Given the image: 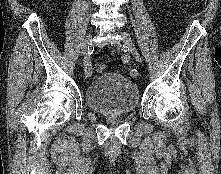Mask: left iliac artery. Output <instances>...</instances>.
Wrapping results in <instances>:
<instances>
[{"instance_id": "obj_1", "label": "left iliac artery", "mask_w": 221, "mask_h": 174, "mask_svg": "<svg viewBox=\"0 0 221 174\" xmlns=\"http://www.w3.org/2000/svg\"><path fill=\"white\" fill-rule=\"evenodd\" d=\"M121 60L123 61V63L128 64V63L130 62V56H129L128 54L124 53V54H122V56H121ZM130 74L133 75V76H135V75L137 74V70L132 69V70L130 71Z\"/></svg>"}]
</instances>
